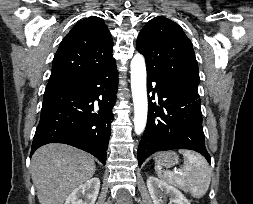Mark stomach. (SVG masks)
Segmentation results:
<instances>
[{
	"label": "stomach",
	"instance_id": "stomach-1",
	"mask_svg": "<svg viewBox=\"0 0 253 204\" xmlns=\"http://www.w3.org/2000/svg\"><path fill=\"white\" fill-rule=\"evenodd\" d=\"M160 160L161 166L163 167H171L178 163V155L175 152H167L160 154L156 161Z\"/></svg>",
	"mask_w": 253,
	"mask_h": 204
}]
</instances>
